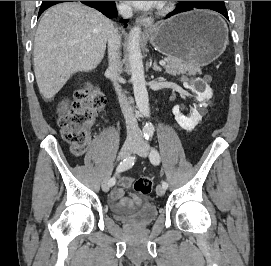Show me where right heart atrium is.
<instances>
[{"label": "right heart atrium", "instance_id": "right-heart-atrium-1", "mask_svg": "<svg viewBox=\"0 0 271 266\" xmlns=\"http://www.w3.org/2000/svg\"><path fill=\"white\" fill-rule=\"evenodd\" d=\"M122 9H124V10H125V9H126V7L123 5V6H122Z\"/></svg>", "mask_w": 271, "mask_h": 266}]
</instances>
